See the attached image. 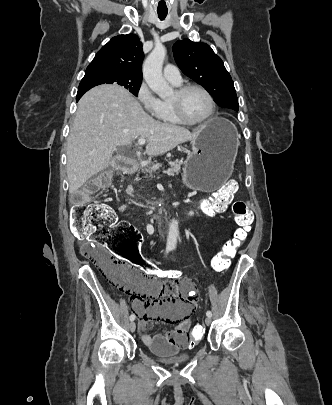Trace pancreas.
Returning <instances> with one entry per match:
<instances>
[{"label":"pancreas","mask_w":332,"mask_h":405,"mask_svg":"<svg viewBox=\"0 0 332 405\" xmlns=\"http://www.w3.org/2000/svg\"><path fill=\"white\" fill-rule=\"evenodd\" d=\"M169 168L166 170L164 173L167 174L168 176H177L181 172V163L178 161H172L169 162ZM162 167V164H154L153 166L150 167L149 173L159 171V169Z\"/></svg>","instance_id":"pancreas-1"}]
</instances>
